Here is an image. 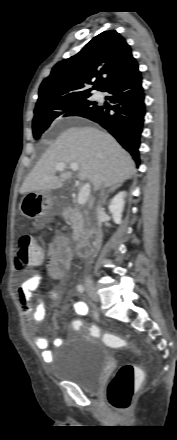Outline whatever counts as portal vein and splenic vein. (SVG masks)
Segmentation results:
<instances>
[{"label": "portal vein and splenic vein", "mask_w": 177, "mask_h": 440, "mask_svg": "<svg viewBox=\"0 0 177 440\" xmlns=\"http://www.w3.org/2000/svg\"><path fill=\"white\" fill-rule=\"evenodd\" d=\"M65 167H66L65 163L61 162V163L56 164L55 169H56V171H63L65 169ZM69 167L73 171H78V169H79V165L77 163H70ZM90 191H91L90 184L85 183L78 194L79 205H84L87 202L89 195H90Z\"/></svg>", "instance_id": "18ae733b"}]
</instances>
